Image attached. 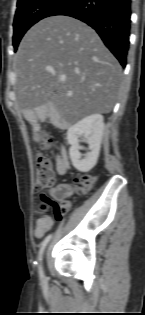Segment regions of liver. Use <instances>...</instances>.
I'll return each instance as SVG.
<instances>
[{
  "label": "liver",
  "instance_id": "6515ba94",
  "mask_svg": "<svg viewBox=\"0 0 145 315\" xmlns=\"http://www.w3.org/2000/svg\"><path fill=\"white\" fill-rule=\"evenodd\" d=\"M14 70L16 104L25 118L33 121L44 113L68 126L109 113L122 75L98 34L63 15L45 18L25 34Z\"/></svg>",
  "mask_w": 145,
  "mask_h": 315
}]
</instances>
